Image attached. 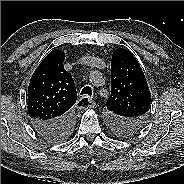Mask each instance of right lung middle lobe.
Here are the masks:
<instances>
[{
    "mask_svg": "<svg viewBox=\"0 0 184 184\" xmlns=\"http://www.w3.org/2000/svg\"><path fill=\"white\" fill-rule=\"evenodd\" d=\"M73 129V125H71L66 131L61 132L60 134L53 136L51 138H46V140L48 141H52V142H56V141H61L64 140L65 138H67L69 136V134L71 133Z\"/></svg>",
    "mask_w": 184,
    "mask_h": 184,
    "instance_id": "dd1d6c3e",
    "label": "right lung middle lobe"
}]
</instances>
